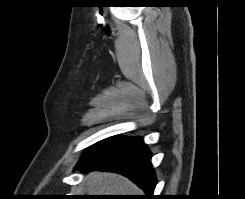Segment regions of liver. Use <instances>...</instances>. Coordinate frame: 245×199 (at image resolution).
<instances>
[{"mask_svg": "<svg viewBox=\"0 0 245 199\" xmlns=\"http://www.w3.org/2000/svg\"><path fill=\"white\" fill-rule=\"evenodd\" d=\"M89 195H140L127 178L108 172H91L85 177Z\"/></svg>", "mask_w": 245, "mask_h": 199, "instance_id": "1", "label": "liver"}]
</instances>
